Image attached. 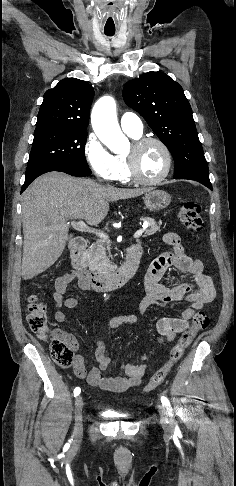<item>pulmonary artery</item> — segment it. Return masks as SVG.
Segmentation results:
<instances>
[{"label":"pulmonary artery","instance_id":"e3ab8cb5","mask_svg":"<svg viewBox=\"0 0 236 486\" xmlns=\"http://www.w3.org/2000/svg\"><path fill=\"white\" fill-rule=\"evenodd\" d=\"M120 125L122 130L130 135L141 136L143 133L141 119L132 112H126L121 116Z\"/></svg>","mask_w":236,"mask_h":486}]
</instances>
